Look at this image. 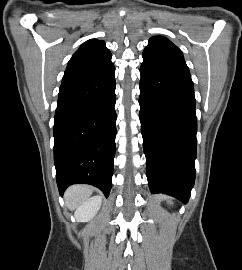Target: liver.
<instances>
[{
	"mask_svg": "<svg viewBox=\"0 0 242 270\" xmlns=\"http://www.w3.org/2000/svg\"><path fill=\"white\" fill-rule=\"evenodd\" d=\"M93 189L86 185H74L67 189L65 202L70 210H74L82 205L91 195Z\"/></svg>",
	"mask_w": 242,
	"mask_h": 270,
	"instance_id": "1",
	"label": "liver"
}]
</instances>
